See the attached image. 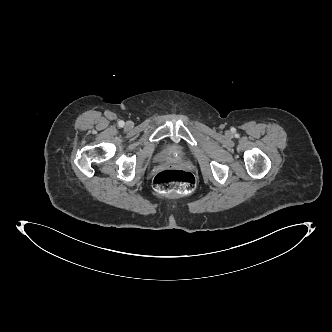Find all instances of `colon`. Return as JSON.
<instances>
[{"mask_svg":"<svg viewBox=\"0 0 332 332\" xmlns=\"http://www.w3.org/2000/svg\"><path fill=\"white\" fill-rule=\"evenodd\" d=\"M195 183L194 175L181 169H166L157 173L154 178L155 189L163 193L190 192Z\"/></svg>","mask_w":332,"mask_h":332,"instance_id":"1","label":"colon"}]
</instances>
